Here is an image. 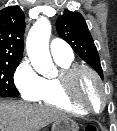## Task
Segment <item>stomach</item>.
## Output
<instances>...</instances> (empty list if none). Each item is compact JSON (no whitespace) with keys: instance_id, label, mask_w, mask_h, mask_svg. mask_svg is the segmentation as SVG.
Returning a JSON list of instances; mask_svg holds the SVG:
<instances>
[{"instance_id":"1","label":"stomach","mask_w":117,"mask_h":131,"mask_svg":"<svg viewBox=\"0 0 117 131\" xmlns=\"http://www.w3.org/2000/svg\"><path fill=\"white\" fill-rule=\"evenodd\" d=\"M78 124L70 118H61L55 120L52 124L51 131H78Z\"/></svg>"}]
</instances>
